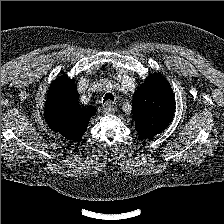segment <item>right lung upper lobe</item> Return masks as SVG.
<instances>
[{
  "label": "right lung upper lobe",
  "instance_id": "obj_1",
  "mask_svg": "<svg viewBox=\"0 0 224 224\" xmlns=\"http://www.w3.org/2000/svg\"><path fill=\"white\" fill-rule=\"evenodd\" d=\"M73 81L65 75L52 83L45 102L44 116L54 132L76 141L85 133L89 118L95 110L79 104Z\"/></svg>",
  "mask_w": 224,
  "mask_h": 224
}]
</instances>
